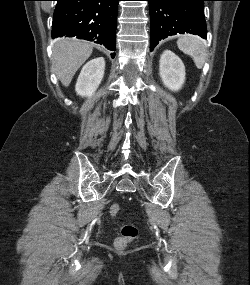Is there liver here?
Instances as JSON below:
<instances>
[{"mask_svg":"<svg viewBox=\"0 0 250 285\" xmlns=\"http://www.w3.org/2000/svg\"><path fill=\"white\" fill-rule=\"evenodd\" d=\"M93 45L74 38H59L53 46V67L64 86H69L76 71L90 57Z\"/></svg>","mask_w":250,"mask_h":285,"instance_id":"obj_1","label":"liver"}]
</instances>
